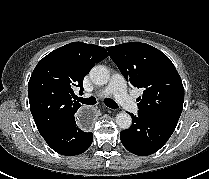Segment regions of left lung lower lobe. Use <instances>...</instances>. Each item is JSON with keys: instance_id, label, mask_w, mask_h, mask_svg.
<instances>
[{"instance_id": "0a47b994", "label": "left lung lower lobe", "mask_w": 209, "mask_h": 179, "mask_svg": "<svg viewBox=\"0 0 209 179\" xmlns=\"http://www.w3.org/2000/svg\"><path fill=\"white\" fill-rule=\"evenodd\" d=\"M133 123L120 133L123 146L131 153L147 156L158 151L170 138L178 120L138 111Z\"/></svg>"}]
</instances>
